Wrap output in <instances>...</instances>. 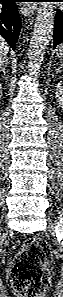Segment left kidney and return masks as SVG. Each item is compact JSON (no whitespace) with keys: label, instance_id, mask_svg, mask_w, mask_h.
Segmentation results:
<instances>
[{"label":"left kidney","instance_id":"left-kidney-1","mask_svg":"<svg viewBox=\"0 0 63 297\" xmlns=\"http://www.w3.org/2000/svg\"><path fill=\"white\" fill-rule=\"evenodd\" d=\"M55 97L59 105H63V82L57 84Z\"/></svg>","mask_w":63,"mask_h":297}]
</instances>
